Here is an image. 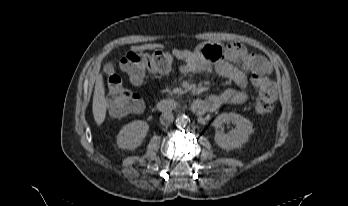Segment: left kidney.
<instances>
[{
	"label": "left kidney",
	"mask_w": 348,
	"mask_h": 206,
	"mask_svg": "<svg viewBox=\"0 0 348 206\" xmlns=\"http://www.w3.org/2000/svg\"><path fill=\"white\" fill-rule=\"evenodd\" d=\"M232 122L235 128L229 134L222 131L224 123ZM216 129L215 142L222 149L232 150L241 147L248 141L249 135L253 132L250 120L236 113H222L213 121Z\"/></svg>",
	"instance_id": "obj_1"
}]
</instances>
